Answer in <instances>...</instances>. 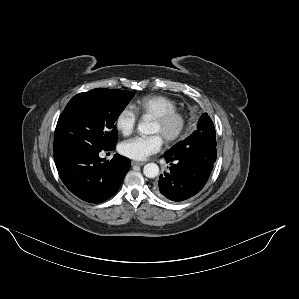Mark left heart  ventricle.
<instances>
[{"label":"left heart ventricle","mask_w":299,"mask_h":299,"mask_svg":"<svg viewBox=\"0 0 299 299\" xmlns=\"http://www.w3.org/2000/svg\"><path fill=\"white\" fill-rule=\"evenodd\" d=\"M171 128H172V125L162 126L153 120L152 126H151V133H157L163 137L165 134H167L171 130Z\"/></svg>","instance_id":"b2bd125f"}]
</instances>
